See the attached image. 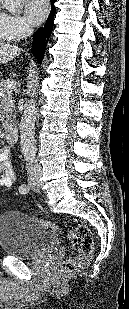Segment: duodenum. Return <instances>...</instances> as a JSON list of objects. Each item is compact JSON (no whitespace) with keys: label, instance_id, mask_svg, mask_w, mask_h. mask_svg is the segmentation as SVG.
I'll return each instance as SVG.
<instances>
[{"label":"duodenum","instance_id":"1","mask_svg":"<svg viewBox=\"0 0 129 309\" xmlns=\"http://www.w3.org/2000/svg\"><path fill=\"white\" fill-rule=\"evenodd\" d=\"M5 139L8 144L16 143L18 139V126L15 123H9L5 128Z\"/></svg>","mask_w":129,"mask_h":309}]
</instances>
